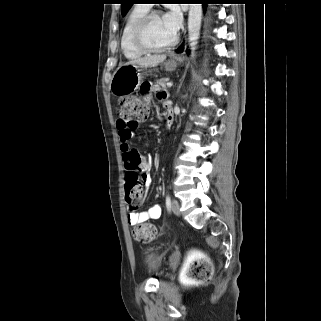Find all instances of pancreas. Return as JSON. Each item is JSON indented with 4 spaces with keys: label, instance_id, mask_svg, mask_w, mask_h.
<instances>
[{
    "label": "pancreas",
    "instance_id": "obj_1",
    "mask_svg": "<svg viewBox=\"0 0 321 321\" xmlns=\"http://www.w3.org/2000/svg\"><path fill=\"white\" fill-rule=\"evenodd\" d=\"M168 81H169L168 78H161L156 81V86L166 88Z\"/></svg>",
    "mask_w": 321,
    "mask_h": 321
}]
</instances>
